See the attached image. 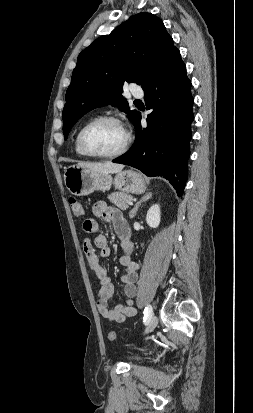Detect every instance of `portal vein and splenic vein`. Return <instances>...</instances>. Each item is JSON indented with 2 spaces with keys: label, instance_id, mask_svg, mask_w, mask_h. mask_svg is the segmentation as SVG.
<instances>
[{
  "label": "portal vein and splenic vein",
  "instance_id": "1",
  "mask_svg": "<svg viewBox=\"0 0 253 413\" xmlns=\"http://www.w3.org/2000/svg\"><path fill=\"white\" fill-rule=\"evenodd\" d=\"M128 204H129V205H132L133 203H132V201H129Z\"/></svg>",
  "mask_w": 253,
  "mask_h": 413
}]
</instances>
